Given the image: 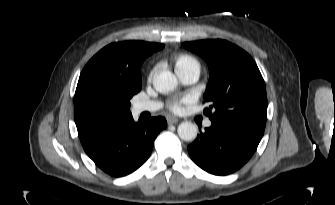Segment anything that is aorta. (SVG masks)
<instances>
[{
	"mask_svg": "<svg viewBox=\"0 0 335 205\" xmlns=\"http://www.w3.org/2000/svg\"><path fill=\"white\" fill-rule=\"evenodd\" d=\"M178 84L176 76L170 71H162L153 78V86L160 93L172 91ZM179 137L184 141H193L197 137V127L191 122H182L177 129Z\"/></svg>",
	"mask_w": 335,
	"mask_h": 205,
	"instance_id": "762f6f07",
	"label": "aorta"
}]
</instances>
